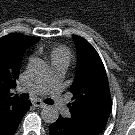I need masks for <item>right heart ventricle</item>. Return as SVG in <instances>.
<instances>
[{"mask_svg":"<svg viewBox=\"0 0 135 135\" xmlns=\"http://www.w3.org/2000/svg\"><path fill=\"white\" fill-rule=\"evenodd\" d=\"M51 64H68L71 61L72 54L68 47L64 45L54 46L49 53Z\"/></svg>","mask_w":135,"mask_h":135,"instance_id":"1","label":"right heart ventricle"}]
</instances>
